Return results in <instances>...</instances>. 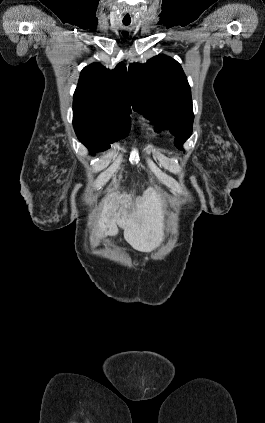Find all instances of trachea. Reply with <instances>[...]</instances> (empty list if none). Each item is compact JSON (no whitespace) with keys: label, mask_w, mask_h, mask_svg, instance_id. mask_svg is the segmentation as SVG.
Returning <instances> with one entry per match:
<instances>
[{"label":"trachea","mask_w":265,"mask_h":423,"mask_svg":"<svg viewBox=\"0 0 265 423\" xmlns=\"http://www.w3.org/2000/svg\"><path fill=\"white\" fill-rule=\"evenodd\" d=\"M123 24H124L125 26H128V25L130 24V22H123Z\"/></svg>","instance_id":"1"}]
</instances>
